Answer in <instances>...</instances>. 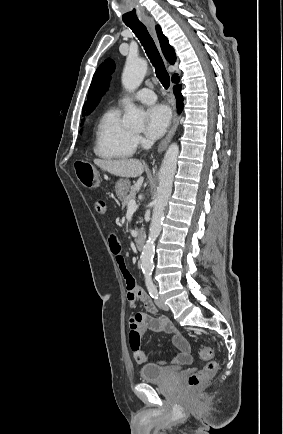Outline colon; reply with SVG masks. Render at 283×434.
Instances as JSON below:
<instances>
[{
    "label": "colon",
    "instance_id": "1",
    "mask_svg": "<svg viewBox=\"0 0 283 434\" xmlns=\"http://www.w3.org/2000/svg\"><path fill=\"white\" fill-rule=\"evenodd\" d=\"M75 170L78 180L83 186L89 189H94L99 186V176L95 168L85 162L75 164ZM201 360L207 362L204 368L196 373H193L188 378V386L195 389L214 377L217 372V363L212 360L213 350L209 346H204L199 351Z\"/></svg>",
    "mask_w": 283,
    "mask_h": 434
}]
</instances>
